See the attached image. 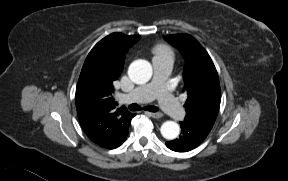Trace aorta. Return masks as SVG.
<instances>
[{
  "instance_id": "1",
  "label": "aorta",
  "mask_w": 288,
  "mask_h": 181,
  "mask_svg": "<svg viewBox=\"0 0 288 181\" xmlns=\"http://www.w3.org/2000/svg\"><path fill=\"white\" fill-rule=\"evenodd\" d=\"M129 78L136 84L148 82L152 76V66L146 60L133 61L128 69ZM160 132L167 140H173L178 137L180 128L174 121H166L161 125Z\"/></svg>"
}]
</instances>
